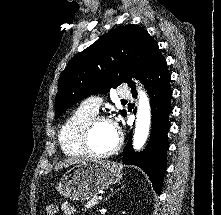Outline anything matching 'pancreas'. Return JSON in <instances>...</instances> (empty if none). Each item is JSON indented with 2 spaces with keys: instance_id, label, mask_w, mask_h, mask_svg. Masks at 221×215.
Segmentation results:
<instances>
[{
  "instance_id": "pancreas-1",
  "label": "pancreas",
  "mask_w": 221,
  "mask_h": 215,
  "mask_svg": "<svg viewBox=\"0 0 221 215\" xmlns=\"http://www.w3.org/2000/svg\"><path fill=\"white\" fill-rule=\"evenodd\" d=\"M98 203L99 199L97 198V196H94L86 203L85 208H93Z\"/></svg>"
}]
</instances>
